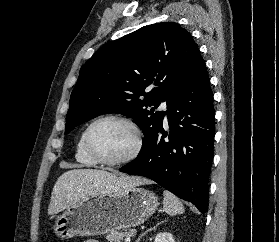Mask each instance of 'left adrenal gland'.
<instances>
[{"instance_id": "a2214340", "label": "left adrenal gland", "mask_w": 279, "mask_h": 242, "mask_svg": "<svg viewBox=\"0 0 279 242\" xmlns=\"http://www.w3.org/2000/svg\"><path fill=\"white\" fill-rule=\"evenodd\" d=\"M160 223H158L156 226H154L153 228H150V229H147L144 233H142L139 238L136 240V242H139L140 239L146 234L148 233L149 231H152L153 229H155Z\"/></svg>"}]
</instances>
